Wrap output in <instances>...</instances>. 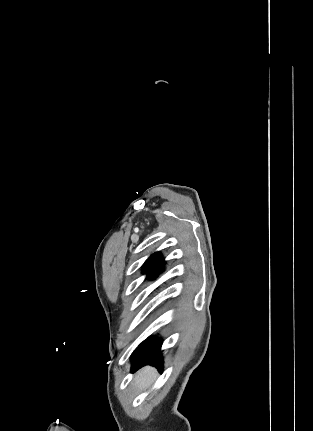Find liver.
Here are the masks:
<instances>
[{"label":"liver","mask_w":313,"mask_h":431,"mask_svg":"<svg viewBox=\"0 0 313 431\" xmlns=\"http://www.w3.org/2000/svg\"><path fill=\"white\" fill-rule=\"evenodd\" d=\"M157 376V371L152 367H145L140 370L135 379L134 385L136 388L143 390L151 385Z\"/></svg>","instance_id":"1"}]
</instances>
